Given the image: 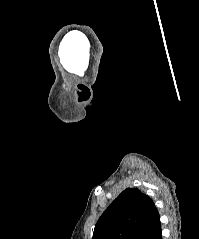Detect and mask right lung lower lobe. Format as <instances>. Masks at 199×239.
<instances>
[{"label":"right lung lower lobe","instance_id":"98d812e1","mask_svg":"<svg viewBox=\"0 0 199 239\" xmlns=\"http://www.w3.org/2000/svg\"><path fill=\"white\" fill-rule=\"evenodd\" d=\"M141 239H162L160 221L156 223Z\"/></svg>","mask_w":199,"mask_h":239}]
</instances>
